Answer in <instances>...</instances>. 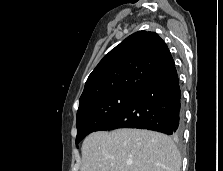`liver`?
Masks as SVG:
<instances>
[{
    "label": "liver",
    "instance_id": "liver-1",
    "mask_svg": "<svg viewBox=\"0 0 223 171\" xmlns=\"http://www.w3.org/2000/svg\"><path fill=\"white\" fill-rule=\"evenodd\" d=\"M181 156L167 135L122 128L89 134L82 144L81 171H180Z\"/></svg>",
    "mask_w": 223,
    "mask_h": 171
}]
</instances>
